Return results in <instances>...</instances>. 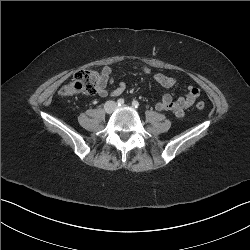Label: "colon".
<instances>
[{"instance_id":"colon-1","label":"colon","mask_w":250,"mask_h":250,"mask_svg":"<svg viewBox=\"0 0 250 250\" xmlns=\"http://www.w3.org/2000/svg\"><path fill=\"white\" fill-rule=\"evenodd\" d=\"M101 77L97 71L81 70L74 75L73 80L65 85L60 94L64 97H69L74 94L84 93L93 94L97 91ZM196 108L202 110L205 108V103L199 101L196 103Z\"/></svg>"}]
</instances>
